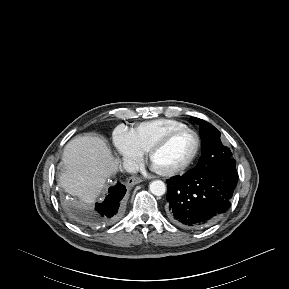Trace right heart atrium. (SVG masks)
Returning <instances> with one entry per match:
<instances>
[{
  "mask_svg": "<svg viewBox=\"0 0 289 289\" xmlns=\"http://www.w3.org/2000/svg\"><path fill=\"white\" fill-rule=\"evenodd\" d=\"M114 144L124 162L135 164L143 156V152L134 143L131 132L121 130L114 137Z\"/></svg>",
  "mask_w": 289,
  "mask_h": 289,
  "instance_id": "1",
  "label": "right heart atrium"
}]
</instances>
